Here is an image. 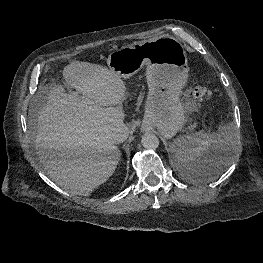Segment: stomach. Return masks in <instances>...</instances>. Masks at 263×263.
Listing matches in <instances>:
<instances>
[{
  "mask_svg": "<svg viewBox=\"0 0 263 263\" xmlns=\"http://www.w3.org/2000/svg\"><path fill=\"white\" fill-rule=\"evenodd\" d=\"M107 64L123 79L146 65L149 92L144 124L157 128L167 139L182 129L186 110L180 96L189 68L184 47L177 39L164 35L123 46L110 53Z\"/></svg>",
  "mask_w": 263,
  "mask_h": 263,
  "instance_id": "0dacf381",
  "label": "stomach"
}]
</instances>
